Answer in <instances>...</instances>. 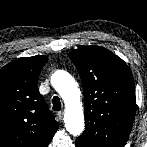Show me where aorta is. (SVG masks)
Wrapping results in <instances>:
<instances>
[{
	"mask_svg": "<svg viewBox=\"0 0 147 147\" xmlns=\"http://www.w3.org/2000/svg\"><path fill=\"white\" fill-rule=\"evenodd\" d=\"M51 84L65 103L66 130L74 136L80 135L84 130V112L77 82L68 72L58 70L51 76Z\"/></svg>",
	"mask_w": 147,
	"mask_h": 147,
	"instance_id": "aorta-1",
	"label": "aorta"
}]
</instances>
